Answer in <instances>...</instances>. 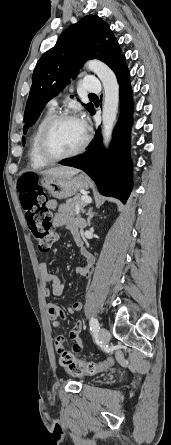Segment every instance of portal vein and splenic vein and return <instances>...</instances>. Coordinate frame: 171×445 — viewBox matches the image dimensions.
Returning <instances> with one entry per match:
<instances>
[{
	"mask_svg": "<svg viewBox=\"0 0 171 445\" xmlns=\"http://www.w3.org/2000/svg\"><path fill=\"white\" fill-rule=\"evenodd\" d=\"M82 199H83V201L86 202V203H90V202H91V198L88 197V196H84ZM79 213H80V208H77V209H76V214L78 215Z\"/></svg>",
	"mask_w": 171,
	"mask_h": 445,
	"instance_id": "obj_1",
	"label": "portal vein and splenic vein"
}]
</instances>
